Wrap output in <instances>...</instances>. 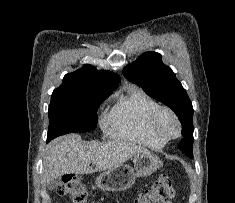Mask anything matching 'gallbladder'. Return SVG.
Returning a JSON list of instances; mask_svg holds the SVG:
<instances>
[{"instance_id":"obj_1","label":"gallbladder","mask_w":235,"mask_h":203,"mask_svg":"<svg viewBox=\"0 0 235 203\" xmlns=\"http://www.w3.org/2000/svg\"><path fill=\"white\" fill-rule=\"evenodd\" d=\"M60 184H61V182H60L59 178L54 179L48 184V189L53 190V189L57 188Z\"/></svg>"}]
</instances>
